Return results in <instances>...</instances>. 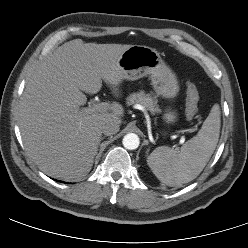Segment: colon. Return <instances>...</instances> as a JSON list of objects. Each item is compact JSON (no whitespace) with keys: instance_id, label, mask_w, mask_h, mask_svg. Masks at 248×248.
<instances>
[{"instance_id":"obj_1","label":"colon","mask_w":248,"mask_h":248,"mask_svg":"<svg viewBox=\"0 0 248 248\" xmlns=\"http://www.w3.org/2000/svg\"><path fill=\"white\" fill-rule=\"evenodd\" d=\"M199 94L194 84L188 83L186 87V117L192 119L198 111Z\"/></svg>"}]
</instances>
